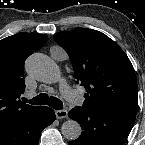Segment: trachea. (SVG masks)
I'll return each mask as SVG.
<instances>
[{"instance_id": "3493384b", "label": "trachea", "mask_w": 145, "mask_h": 145, "mask_svg": "<svg viewBox=\"0 0 145 145\" xmlns=\"http://www.w3.org/2000/svg\"><path fill=\"white\" fill-rule=\"evenodd\" d=\"M25 102H28L32 105H48L53 109L61 110L63 108L62 102L56 97H49L46 93H41L32 100L24 99Z\"/></svg>"}]
</instances>
